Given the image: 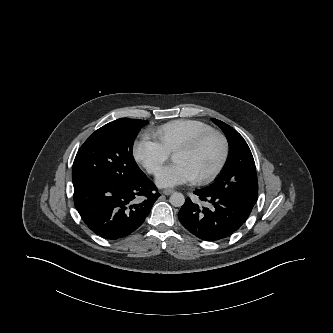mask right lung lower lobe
Returning a JSON list of instances; mask_svg holds the SVG:
<instances>
[{"mask_svg": "<svg viewBox=\"0 0 333 333\" xmlns=\"http://www.w3.org/2000/svg\"><path fill=\"white\" fill-rule=\"evenodd\" d=\"M155 184L141 171L128 184L95 182L74 187V204L82 220L95 234L122 239L144 222L160 196Z\"/></svg>", "mask_w": 333, "mask_h": 333, "instance_id": "obj_1", "label": "right lung lower lobe"}]
</instances>
